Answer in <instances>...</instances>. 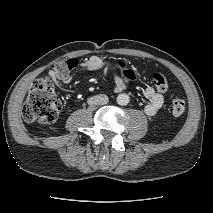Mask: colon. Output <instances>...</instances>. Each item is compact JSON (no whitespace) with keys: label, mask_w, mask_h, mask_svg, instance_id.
Returning <instances> with one entry per match:
<instances>
[{"label":"colon","mask_w":213,"mask_h":213,"mask_svg":"<svg viewBox=\"0 0 213 213\" xmlns=\"http://www.w3.org/2000/svg\"><path fill=\"white\" fill-rule=\"evenodd\" d=\"M76 65V59L60 61L53 65V71L57 76H64ZM152 80L159 91L165 92L168 89V78L165 74L154 72ZM170 107L175 116H180L185 111V101L181 96L173 94L170 97ZM61 109L62 105L53 84L48 78L42 77L30 88L22 108V116L29 123L49 124L58 118Z\"/></svg>","instance_id":"1"}]
</instances>
